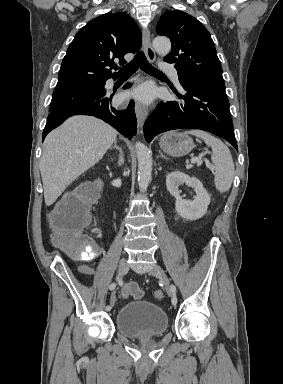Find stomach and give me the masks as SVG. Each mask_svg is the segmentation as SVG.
Listing matches in <instances>:
<instances>
[{
    "label": "stomach",
    "instance_id": "obj_1",
    "mask_svg": "<svg viewBox=\"0 0 283 384\" xmlns=\"http://www.w3.org/2000/svg\"><path fill=\"white\" fill-rule=\"evenodd\" d=\"M159 146L163 152L169 154V156H185L189 154L193 148V140L185 134H176V132H168L162 136Z\"/></svg>",
    "mask_w": 283,
    "mask_h": 384
}]
</instances>
